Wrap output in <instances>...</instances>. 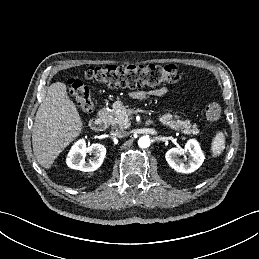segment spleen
Segmentation results:
<instances>
[{"label":"spleen","instance_id":"1","mask_svg":"<svg viewBox=\"0 0 259 259\" xmlns=\"http://www.w3.org/2000/svg\"><path fill=\"white\" fill-rule=\"evenodd\" d=\"M225 149V134L222 131L216 133L212 145L211 151L214 157L219 156Z\"/></svg>","mask_w":259,"mask_h":259}]
</instances>
